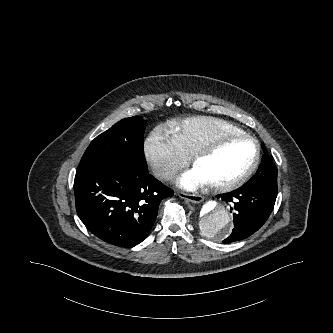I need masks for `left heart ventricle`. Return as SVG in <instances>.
<instances>
[{"mask_svg": "<svg viewBox=\"0 0 333 333\" xmlns=\"http://www.w3.org/2000/svg\"><path fill=\"white\" fill-rule=\"evenodd\" d=\"M255 145L248 140H228L208 156L197 161L196 168L208 184L225 183L237 178L251 164Z\"/></svg>", "mask_w": 333, "mask_h": 333, "instance_id": "obj_1", "label": "left heart ventricle"}]
</instances>
